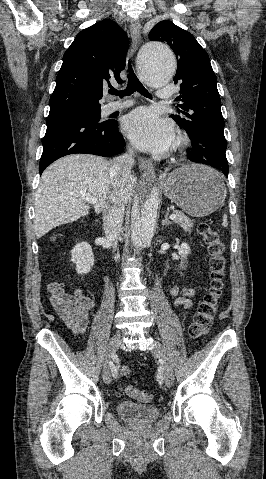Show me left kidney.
Returning a JSON list of instances; mask_svg holds the SVG:
<instances>
[{
    "label": "left kidney",
    "instance_id": "left-kidney-1",
    "mask_svg": "<svg viewBox=\"0 0 266 479\" xmlns=\"http://www.w3.org/2000/svg\"><path fill=\"white\" fill-rule=\"evenodd\" d=\"M178 251L181 256H187L191 252V249L186 242H183L181 246L179 247Z\"/></svg>",
    "mask_w": 266,
    "mask_h": 479
}]
</instances>
